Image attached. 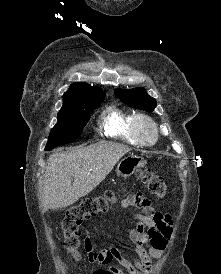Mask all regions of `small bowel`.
<instances>
[{"label":"small bowel","mask_w":221,"mask_h":274,"mask_svg":"<svg viewBox=\"0 0 221 274\" xmlns=\"http://www.w3.org/2000/svg\"><path fill=\"white\" fill-rule=\"evenodd\" d=\"M120 206L131 209L134 221L128 236L133 261L126 259L120 249L114 246L96 250L90 237L87 236L84 239V248L88 261L101 266L92 274H125L122 269L111 266L113 261H117L128 274H149L152 260L164 253L172 237L171 216L157 211L150 200L141 193H132L123 198ZM133 207L140 212L133 210Z\"/></svg>","instance_id":"obj_1"}]
</instances>
